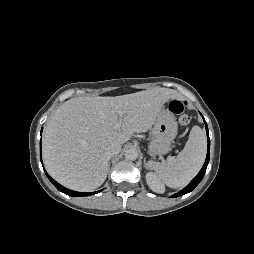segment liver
<instances>
[{
	"label": "liver",
	"instance_id": "obj_1",
	"mask_svg": "<svg viewBox=\"0 0 254 254\" xmlns=\"http://www.w3.org/2000/svg\"><path fill=\"white\" fill-rule=\"evenodd\" d=\"M176 91L156 87L116 97H75L59 106L43 137L48 173L76 191L102 185L109 170L108 145L126 143L134 133L148 131ZM119 111L124 115L119 116ZM121 121V129L114 125Z\"/></svg>",
	"mask_w": 254,
	"mask_h": 254
}]
</instances>
